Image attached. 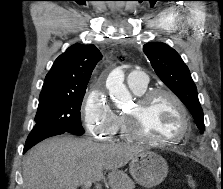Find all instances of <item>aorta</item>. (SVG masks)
<instances>
[{"label": "aorta", "instance_id": "762f6f07", "mask_svg": "<svg viewBox=\"0 0 223 189\" xmlns=\"http://www.w3.org/2000/svg\"><path fill=\"white\" fill-rule=\"evenodd\" d=\"M124 72L120 68H116L108 75L106 87L109 95L119 109L127 108L132 102V96L124 84Z\"/></svg>", "mask_w": 223, "mask_h": 189}]
</instances>
